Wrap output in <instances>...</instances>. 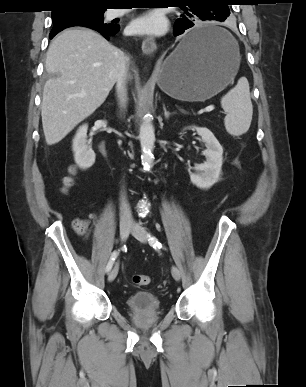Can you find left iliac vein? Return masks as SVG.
<instances>
[{"label": "left iliac vein", "mask_w": 306, "mask_h": 387, "mask_svg": "<svg viewBox=\"0 0 306 387\" xmlns=\"http://www.w3.org/2000/svg\"><path fill=\"white\" fill-rule=\"evenodd\" d=\"M131 233L132 235L138 239L140 242H147V238H148V233L147 231L142 227L140 226L139 224H136L134 223L132 225V229H131ZM171 273H172V276L173 278L176 280V281H179L180 278H181V273H180V270L176 267V266H172L171 268Z\"/></svg>", "instance_id": "4c4485c4"}]
</instances>
